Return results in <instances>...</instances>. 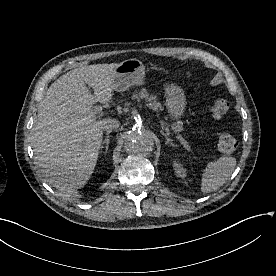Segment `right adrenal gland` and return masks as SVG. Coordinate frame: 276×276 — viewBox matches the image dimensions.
<instances>
[{
  "instance_id": "right-adrenal-gland-1",
  "label": "right adrenal gland",
  "mask_w": 276,
  "mask_h": 276,
  "mask_svg": "<svg viewBox=\"0 0 276 276\" xmlns=\"http://www.w3.org/2000/svg\"><path fill=\"white\" fill-rule=\"evenodd\" d=\"M110 133L111 132H107L106 133V136H105V139H104V141L102 142V146H101V149L102 148H105L106 150H105V152H104V154H106L107 153V149H108V146H109V143H110ZM104 145H106V146H104Z\"/></svg>"
}]
</instances>
